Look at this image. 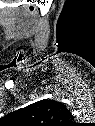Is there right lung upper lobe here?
<instances>
[{"label": "right lung upper lobe", "instance_id": "obj_1", "mask_svg": "<svg viewBox=\"0 0 95 126\" xmlns=\"http://www.w3.org/2000/svg\"><path fill=\"white\" fill-rule=\"evenodd\" d=\"M6 119L15 126H72L73 116L64 103L44 99L11 112Z\"/></svg>", "mask_w": 95, "mask_h": 126}]
</instances>
